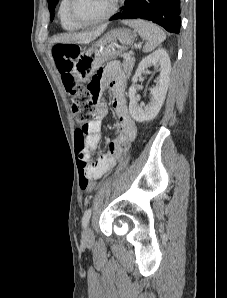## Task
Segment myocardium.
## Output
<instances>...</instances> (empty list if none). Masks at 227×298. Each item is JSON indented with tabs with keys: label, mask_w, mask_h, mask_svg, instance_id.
Returning <instances> with one entry per match:
<instances>
[{
	"label": "myocardium",
	"mask_w": 227,
	"mask_h": 298,
	"mask_svg": "<svg viewBox=\"0 0 227 298\" xmlns=\"http://www.w3.org/2000/svg\"><path fill=\"white\" fill-rule=\"evenodd\" d=\"M73 2H74V0H68L67 15H68L69 19L74 24H76L80 27L91 26V25L102 23V22L108 20L109 18H111L117 12V10L119 8V0H112L111 7L104 15H102L101 17L94 19V20L83 21V20H80L77 17H75V15L73 14Z\"/></svg>",
	"instance_id": "myocardium-1"
}]
</instances>
